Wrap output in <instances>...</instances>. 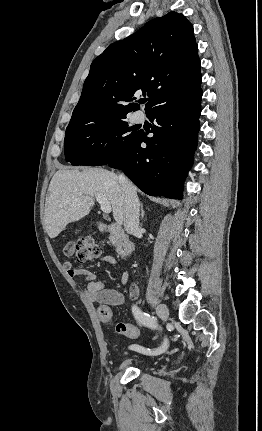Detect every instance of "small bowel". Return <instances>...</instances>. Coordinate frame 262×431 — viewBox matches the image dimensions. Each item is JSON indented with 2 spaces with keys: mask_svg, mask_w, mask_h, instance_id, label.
I'll return each mask as SVG.
<instances>
[{
  "mask_svg": "<svg viewBox=\"0 0 262 431\" xmlns=\"http://www.w3.org/2000/svg\"><path fill=\"white\" fill-rule=\"evenodd\" d=\"M104 261L113 266L117 265L116 260L109 256L105 257ZM63 266L69 277H83L85 279L86 299L90 302L98 303L99 314L106 312V314L113 319L111 307L123 304V293L115 289L105 288V284L102 281H98L93 273L89 272L86 269L75 267L70 260H65L63 262ZM121 283L124 286L129 283V274L126 271H123L121 273ZM130 294L131 298H136L139 295L138 288L136 286H133L131 288Z\"/></svg>",
  "mask_w": 262,
  "mask_h": 431,
  "instance_id": "1",
  "label": "small bowel"
}]
</instances>
